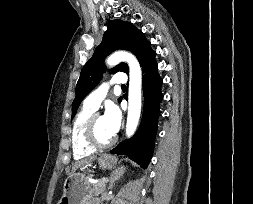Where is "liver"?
I'll return each mask as SVG.
<instances>
[{"mask_svg":"<svg viewBox=\"0 0 253 204\" xmlns=\"http://www.w3.org/2000/svg\"><path fill=\"white\" fill-rule=\"evenodd\" d=\"M96 159V156H91L85 159H82L80 161H76L73 166H72V171H75L76 169H78L79 167H82L84 165H88L90 164L92 161H94Z\"/></svg>","mask_w":253,"mask_h":204,"instance_id":"1","label":"liver"}]
</instances>
